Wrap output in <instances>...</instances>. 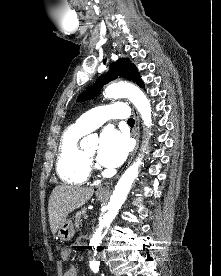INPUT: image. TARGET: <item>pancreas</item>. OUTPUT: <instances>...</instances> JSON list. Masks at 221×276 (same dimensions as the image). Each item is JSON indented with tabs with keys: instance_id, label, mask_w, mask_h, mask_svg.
Here are the masks:
<instances>
[{
	"instance_id": "1",
	"label": "pancreas",
	"mask_w": 221,
	"mask_h": 276,
	"mask_svg": "<svg viewBox=\"0 0 221 276\" xmlns=\"http://www.w3.org/2000/svg\"><path fill=\"white\" fill-rule=\"evenodd\" d=\"M85 211H86V209L84 208V209H81L80 211H78L76 213L74 223H75V227H76L77 230L79 229V225L81 224V216L83 214H85Z\"/></svg>"
}]
</instances>
